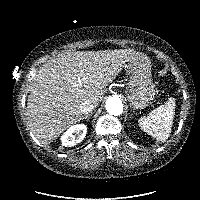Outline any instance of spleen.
<instances>
[{
    "instance_id": "3e777b00",
    "label": "spleen",
    "mask_w": 200,
    "mask_h": 200,
    "mask_svg": "<svg viewBox=\"0 0 200 200\" xmlns=\"http://www.w3.org/2000/svg\"><path fill=\"white\" fill-rule=\"evenodd\" d=\"M175 114V99L151 111L147 117L139 119L140 128L160 142H165L171 133Z\"/></svg>"
}]
</instances>
